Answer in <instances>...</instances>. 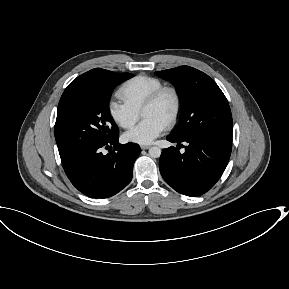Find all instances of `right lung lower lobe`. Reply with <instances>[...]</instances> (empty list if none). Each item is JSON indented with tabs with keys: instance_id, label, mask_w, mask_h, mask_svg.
I'll use <instances>...</instances> for the list:
<instances>
[{
	"instance_id": "obj_1",
	"label": "right lung lower lobe",
	"mask_w": 289,
	"mask_h": 289,
	"mask_svg": "<svg viewBox=\"0 0 289 289\" xmlns=\"http://www.w3.org/2000/svg\"><path fill=\"white\" fill-rule=\"evenodd\" d=\"M118 139L117 134L104 143L62 160L67 177L86 196L108 198L130 183L134 161L141 150L139 145L134 143L121 145ZM103 149L110 152L104 155Z\"/></svg>"
}]
</instances>
